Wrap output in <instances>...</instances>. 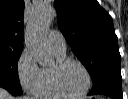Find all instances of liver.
I'll return each instance as SVG.
<instances>
[{"instance_id":"6515ba94","label":"liver","mask_w":128,"mask_h":99,"mask_svg":"<svg viewBox=\"0 0 128 99\" xmlns=\"http://www.w3.org/2000/svg\"><path fill=\"white\" fill-rule=\"evenodd\" d=\"M0 99H14L6 90L0 88ZM21 99H30L28 97H23Z\"/></svg>"}]
</instances>
